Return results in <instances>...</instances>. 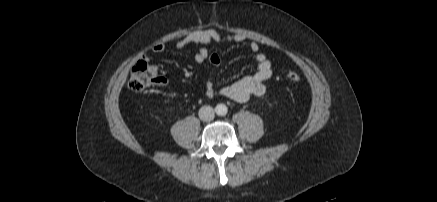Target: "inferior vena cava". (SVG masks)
Segmentation results:
<instances>
[{
    "label": "inferior vena cava",
    "mask_w": 437,
    "mask_h": 202,
    "mask_svg": "<svg viewBox=\"0 0 437 202\" xmlns=\"http://www.w3.org/2000/svg\"><path fill=\"white\" fill-rule=\"evenodd\" d=\"M214 109L211 106H203L199 110V118L202 121H211L214 119Z\"/></svg>",
    "instance_id": "602c4592"
}]
</instances>
